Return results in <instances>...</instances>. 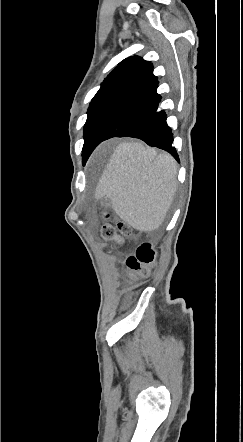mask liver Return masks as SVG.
I'll return each instance as SVG.
<instances>
[{
    "mask_svg": "<svg viewBox=\"0 0 243 442\" xmlns=\"http://www.w3.org/2000/svg\"><path fill=\"white\" fill-rule=\"evenodd\" d=\"M177 190V164L168 153L141 142L116 146L95 197L111 200L115 213L141 232L163 223Z\"/></svg>",
    "mask_w": 243,
    "mask_h": 442,
    "instance_id": "obj_1",
    "label": "liver"
}]
</instances>
